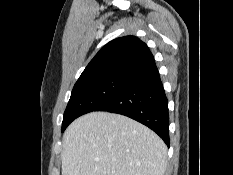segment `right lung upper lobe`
I'll return each mask as SVG.
<instances>
[{
    "label": "right lung upper lobe",
    "instance_id": "cb5924a9",
    "mask_svg": "<svg viewBox=\"0 0 233 175\" xmlns=\"http://www.w3.org/2000/svg\"><path fill=\"white\" fill-rule=\"evenodd\" d=\"M155 66L148 46L137 37L125 36L112 40L101 48L78 81L104 75L134 78Z\"/></svg>",
    "mask_w": 233,
    "mask_h": 175
}]
</instances>
